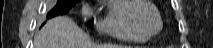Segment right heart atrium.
<instances>
[{
  "label": "right heart atrium",
  "instance_id": "d8ad5b80",
  "mask_svg": "<svg viewBox=\"0 0 213 48\" xmlns=\"http://www.w3.org/2000/svg\"><path fill=\"white\" fill-rule=\"evenodd\" d=\"M92 13H93V12H92V9H91V7H90L89 5H86V6L83 7V15H84L85 17L91 16Z\"/></svg>",
  "mask_w": 213,
  "mask_h": 48
}]
</instances>
